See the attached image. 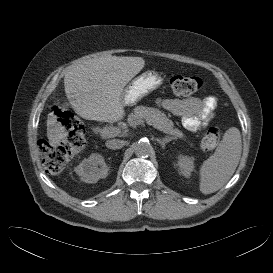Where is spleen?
<instances>
[{"label":"spleen","instance_id":"obj_1","mask_svg":"<svg viewBox=\"0 0 273 273\" xmlns=\"http://www.w3.org/2000/svg\"><path fill=\"white\" fill-rule=\"evenodd\" d=\"M242 152L240 131L229 128L215 153L205 160L199 170V189L203 194L219 190L235 172Z\"/></svg>","mask_w":273,"mask_h":273}]
</instances>
